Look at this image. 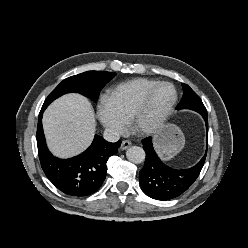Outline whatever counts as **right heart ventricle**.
Wrapping results in <instances>:
<instances>
[{"label": "right heart ventricle", "instance_id": "1", "mask_svg": "<svg viewBox=\"0 0 248 248\" xmlns=\"http://www.w3.org/2000/svg\"><path fill=\"white\" fill-rule=\"evenodd\" d=\"M158 82L149 78H135L111 88L109 97L120 115L129 122L133 111L147 91Z\"/></svg>", "mask_w": 248, "mask_h": 248}]
</instances>
